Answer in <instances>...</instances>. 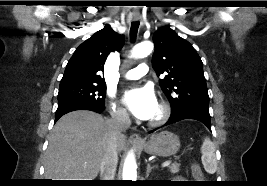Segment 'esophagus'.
Here are the masks:
<instances>
[{"label":"esophagus","mask_w":267,"mask_h":186,"mask_svg":"<svg viewBox=\"0 0 267 186\" xmlns=\"http://www.w3.org/2000/svg\"><path fill=\"white\" fill-rule=\"evenodd\" d=\"M139 18H140L139 15H134V16H133V19H134V20H139ZM129 140H130L131 142H133V143H137V144H141V143H143L142 138H141L140 135L137 134V133H133V134H131L130 137H129Z\"/></svg>","instance_id":"1"}]
</instances>
